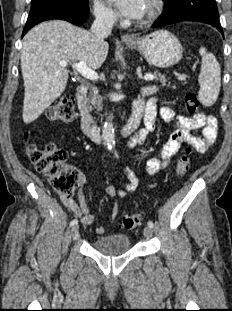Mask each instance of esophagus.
<instances>
[{"label": "esophagus", "instance_id": "obj_1", "mask_svg": "<svg viewBox=\"0 0 232 311\" xmlns=\"http://www.w3.org/2000/svg\"><path fill=\"white\" fill-rule=\"evenodd\" d=\"M121 39L123 41H136L137 40V38L135 36L128 35V34L122 35Z\"/></svg>", "mask_w": 232, "mask_h": 311}]
</instances>
